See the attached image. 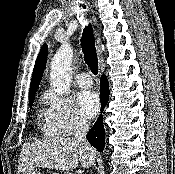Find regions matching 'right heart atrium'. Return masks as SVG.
<instances>
[{
	"mask_svg": "<svg viewBox=\"0 0 175 174\" xmlns=\"http://www.w3.org/2000/svg\"><path fill=\"white\" fill-rule=\"evenodd\" d=\"M45 100L48 123L57 135L69 136L88 126V121L70 98L48 92L45 95Z\"/></svg>",
	"mask_w": 175,
	"mask_h": 174,
	"instance_id": "obj_1",
	"label": "right heart atrium"
}]
</instances>
